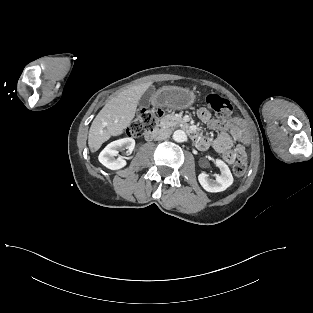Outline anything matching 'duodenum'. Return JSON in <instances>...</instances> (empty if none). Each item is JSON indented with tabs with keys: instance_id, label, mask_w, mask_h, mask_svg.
<instances>
[{
	"instance_id": "410a0bca",
	"label": "duodenum",
	"mask_w": 313,
	"mask_h": 313,
	"mask_svg": "<svg viewBox=\"0 0 313 313\" xmlns=\"http://www.w3.org/2000/svg\"><path fill=\"white\" fill-rule=\"evenodd\" d=\"M189 136L195 141L198 138V133L195 129L190 126H185ZM166 127L164 124H159L153 131L146 134L147 140H152L159 137L164 131Z\"/></svg>"
}]
</instances>
